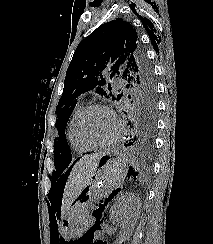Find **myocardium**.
<instances>
[{"instance_id":"f54148a6","label":"myocardium","mask_w":213,"mask_h":244,"mask_svg":"<svg viewBox=\"0 0 213 244\" xmlns=\"http://www.w3.org/2000/svg\"><path fill=\"white\" fill-rule=\"evenodd\" d=\"M92 110L106 111L113 118L116 128H115V132H114L113 136L109 140L103 141V142H94L85 135L84 130H83V125H84L87 115ZM120 132H121V122L118 119L117 115L114 113V111L110 107H108L105 104H101V103H93V104L87 105L84 108V110L82 111V113L80 114V116L77 120V123H76V133H77L78 138L81 140V142H83L85 145L89 146L90 148H104V147L111 146L113 143H115L117 141V139L120 135Z\"/></svg>"}]
</instances>
